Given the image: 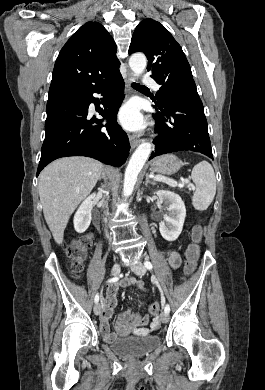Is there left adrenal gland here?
<instances>
[{
  "instance_id": "a2214340",
  "label": "left adrenal gland",
  "mask_w": 265,
  "mask_h": 390,
  "mask_svg": "<svg viewBox=\"0 0 265 390\" xmlns=\"http://www.w3.org/2000/svg\"><path fill=\"white\" fill-rule=\"evenodd\" d=\"M148 183H150V184H152V185H155V184H156L153 180L150 179L149 175L146 174V180H145V182H144L145 186H147Z\"/></svg>"
}]
</instances>
